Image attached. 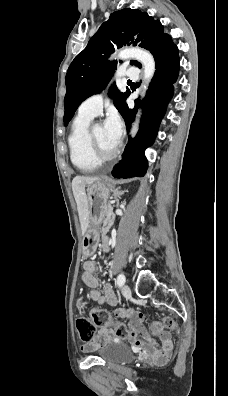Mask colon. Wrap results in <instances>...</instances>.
I'll list each match as a JSON object with an SVG mask.
<instances>
[{
  "instance_id": "obj_1",
  "label": "colon",
  "mask_w": 228,
  "mask_h": 396,
  "mask_svg": "<svg viewBox=\"0 0 228 396\" xmlns=\"http://www.w3.org/2000/svg\"><path fill=\"white\" fill-rule=\"evenodd\" d=\"M96 326L107 327L114 330L115 334L124 338L128 334V329L125 324L113 322L109 313L100 308L93 309L91 318L79 317L76 321V327L82 340L90 341L95 335ZM163 327L170 330H177V323L169 317H166L163 322L153 321L150 324V330L153 334L159 335L163 331Z\"/></svg>"
}]
</instances>
